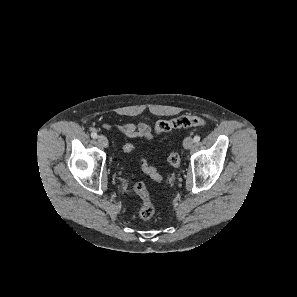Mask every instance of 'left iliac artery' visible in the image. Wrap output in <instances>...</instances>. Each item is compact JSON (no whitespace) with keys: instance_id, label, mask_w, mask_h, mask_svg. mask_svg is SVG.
Listing matches in <instances>:
<instances>
[{"instance_id":"obj_1","label":"left iliac artery","mask_w":297,"mask_h":297,"mask_svg":"<svg viewBox=\"0 0 297 297\" xmlns=\"http://www.w3.org/2000/svg\"><path fill=\"white\" fill-rule=\"evenodd\" d=\"M193 141L195 143H198L200 141V136L199 135H196L194 138H193Z\"/></svg>"}]
</instances>
